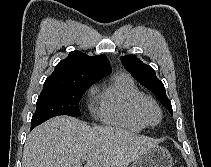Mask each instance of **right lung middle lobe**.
I'll return each mask as SVG.
<instances>
[{"instance_id":"right-lung-middle-lobe-1","label":"right lung middle lobe","mask_w":211,"mask_h":167,"mask_svg":"<svg viewBox=\"0 0 211 167\" xmlns=\"http://www.w3.org/2000/svg\"><path fill=\"white\" fill-rule=\"evenodd\" d=\"M97 80H86L66 86H43L36 102L31 129L59 115L79 116V101L83 93Z\"/></svg>"}]
</instances>
